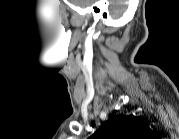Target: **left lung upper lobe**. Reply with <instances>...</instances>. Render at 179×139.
I'll return each mask as SVG.
<instances>
[{
    "instance_id": "5c2ea615",
    "label": "left lung upper lobe",
    "mask_w": 179,
    "mask_h": 139,
    "mask_svg": "<svg viewBox=\"0 0 179 139\" xmlns=\"http://www.w3.org/2000/svg\"><path fill=\"white\" fill-rule=\"evenodd\" d=\"M149 127L133 115H114L90 137V139H141Z\"/></svg>"
}]
</instances>
